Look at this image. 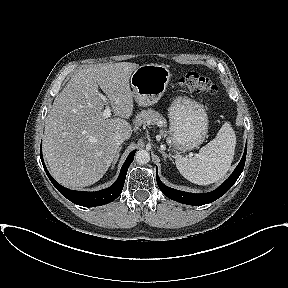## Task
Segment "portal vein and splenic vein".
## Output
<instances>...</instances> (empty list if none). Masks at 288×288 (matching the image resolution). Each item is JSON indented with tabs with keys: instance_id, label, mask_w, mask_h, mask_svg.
I'll return each mask as SVG.
<instances>
[{
	"instance_id": "18ae733b",
	"label": "portal vein and splenic vein",
	"mask_w": 288,
	"mask_h": 288,
	"mask_svg": "<svg viewBox=\"0 0 288 288\" xmlns=\"http://www.w3.org/2000/svg\"><path fill=\"white\" fill-rule=\"evenodd\" d=\"M100 97H101V99L107 104L105 110L103 111V116H104L105 118H108V117H110V115H111V108H110V106H109V102H108L106 96H104V95L101 94Z\"/></svg>"
}]
</instances>
